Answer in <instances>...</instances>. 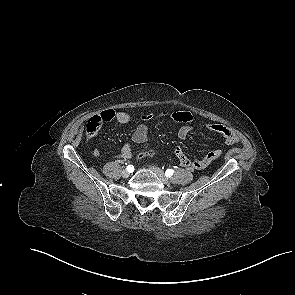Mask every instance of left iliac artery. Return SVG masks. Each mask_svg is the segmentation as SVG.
<instances>
[{
	"label": "left iliac artery",
	"instance_id": "left-iliac-artery-1",
	"mask_svg": "<svg viewBox=\"0 0 295 295\" xmlns=\"http://www.w3.org/2000/svg\"><path fill=\"white\" fill-rule=\"evenodd\" d=\"M173 173H174V170L168 169V170H166L165 175H166V177H171L173 175Z\"/></svg>",
	"mask_w": 295,
	"mask_h": 295
}]
</instances>
